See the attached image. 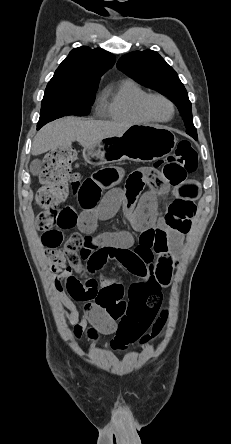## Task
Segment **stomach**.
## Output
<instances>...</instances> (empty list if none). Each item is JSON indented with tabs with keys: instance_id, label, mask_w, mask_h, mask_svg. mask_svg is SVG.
Returning <instances> with one entry per match:
<instances>
[{
	"instance_id": "1",
	"label": "stomach",
	"mask_w": 231,
	"mask_h": 444,
	"mask_svg": "<svg viewBox=\"0 0 231 444\" xmlns=\"http://www.w3.org/2000/svg\"><path fill=\"white\" fill-rule=\"evenodd\" d=\"M177 139L167 127L152 124L130 126L120 135L103 138L83 150L86 162L101 165L121 160L150 162L168 156Z\"/></svg>"
}]
</instances>
